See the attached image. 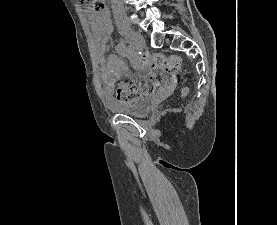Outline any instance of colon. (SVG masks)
<instances>
[{
	"label": "colon",
	"mask_w": 277,
	"mask_h": 225,
	"mask_svg": "<svg viewBox=\"0 0 277 225\" xmlns=\"http://www.w3.org/2000/svg\"><path fill=\"white\" fill-rule=\"evenodd\" d=\"M89 10L99 12L103 9L101 0H78ZM138 64L140 66H151L153 73L147 75L140 83H127L117 89V99L124 103H134L140 97L152 95L159 91L163 82L165 73H179L182 66V60L179 56H164L162 54H145L141 57ZM188 90L184 89L182 94H187Z\"/></svg>",
	"instance_id": "obj_1"
}]
</instances>
